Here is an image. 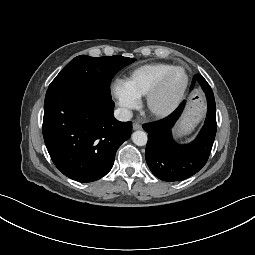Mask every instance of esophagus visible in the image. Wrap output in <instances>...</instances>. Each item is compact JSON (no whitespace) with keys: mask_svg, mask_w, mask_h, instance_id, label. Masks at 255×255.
I'll use <instances>...</instances> for the list:
<instances>
[{"mask_svg":"<svg viewBox=\"0 0 255 255\" xmlns=\"http://www.w3.org/2000/svg\"><path fill=\"white\" fill-rule=\"evenodd\" d=\"M141 128H142V126H141L140 123H138V122H134V123H133V129H134V130H139V129H141Z\"/></svg>","mask_w":255,"mask_h":255,"instance_id":"esophagus-1","label":"esophagus"}]
</instances>
